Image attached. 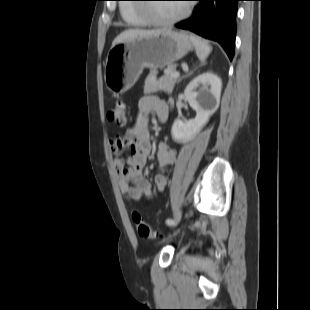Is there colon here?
<instances>
[{
    "mask_svg": "<svg viewBox=\"0 0 310 310\" xmlns=\"http://www.w3.org/2000/svg\"><path fill=\"white\" fill-rule=\"evenodd\" d=\"M109 121L115 123L119 127H124L127 123V105L123 101L117 102L108 110ZM137 232L144 239H155L159 236L158 232L150 227L142 218L138 211L132 213Z\"/></svg>",
    "mask_w": 310,
    "mask_h": 310,
    "instance_id": "1",
    "label": "colon"
}]
</instances>
